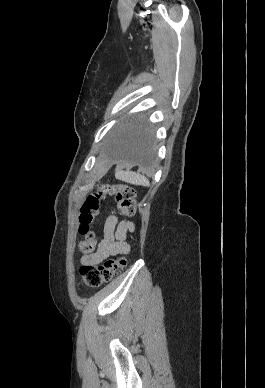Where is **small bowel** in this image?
<instances>
[{"instance_id": "1", "label": "small bowel", "mask_w": 265, "mask_h": 388, "mask_svg": "<svg viewBox=\"0 0 265 388\" xmlns=\"http://www.w3.org/2000/svg\"><path fill=\"white\" fill-rule=\"evenodd\" d=\"M134 228L131 222H121L115 214L110 215L104 224V237L99 242L97 249L81 258L82 265H97L108 257L122 253H127L130 250L129 245L124 241L126 232L132 231Z\"/></svg>"}]
</instances>
